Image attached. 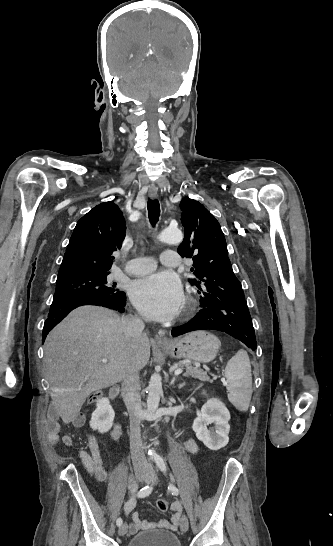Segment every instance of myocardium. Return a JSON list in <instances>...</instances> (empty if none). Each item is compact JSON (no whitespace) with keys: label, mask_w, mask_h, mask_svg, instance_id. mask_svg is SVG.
I'll list each match as a JSON object with an SVG mask.
<instances>
[{"label":"myocardium","mask_w":333,"mask_h":546,"mask_svg":"<svg viewBox=\"0 0 333 546\" xmlns=\"http://www.w3.org/2000/svg\"><path fill=\"white\" fill-rule=\"evenodd\" d=\"M192 308H193V301L191 298H187L183 306L182 316L183 317L187 316L192 311Z\"/></svg>","instance_id":"obj_1"}]
</instances>
